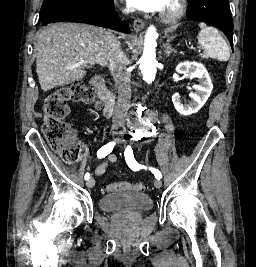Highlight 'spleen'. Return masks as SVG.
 I'll return each instance as SVG.
<instances>
[{"label":"spleen","mask_w":256,"mask_h":267,"mask_svg":"<svg viewBox=\"0 0 256 267\" xmlns=\"http://www.w3.org/2000/svg\"><path fill=\"white\" fill-rule=\"evenodd\" d=\"M199 28H201L197 36L199 48L206 52L208 58H214L219 62H228L230 48L218 30L216 28H208L206 24H199Z\"/></svg>","instance_id":"spleen-1"}]
</instances>
